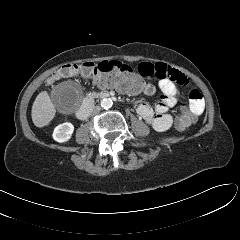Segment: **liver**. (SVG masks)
<instances>
[{
    "instance_id": "obj_1",
    "label": "liver",
    "mask_w": 240,
    "mask_h": 240,
    "mask_svg": "<svg viewBox=\"0 0 240 240\" xmlns=\"http://www.w3.org/2000/svg\"><path fill=\"white\" fill-rule=\"evenodd\" d=\"M56 109L46 91L39 93L33 103L31 117L36 127L48 125L55 117Z\"/></svg>"
}]
</instances>
